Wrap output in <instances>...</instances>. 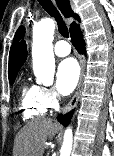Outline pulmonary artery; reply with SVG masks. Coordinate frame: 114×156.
Wrapping results in <instances>:
<instances>
[{
    "instance_id": "1",
    "label": "pulmonary artery",
    "mask_w": 114,
    "mask_h": 156,
    "mask_svg": "<svg viewBox=\"0 0 114 156\" xmlns=\"http://www.w3.org/2000/svg\"><path fill=\"white\" fill-rule=\"evenodd\" d=\"M70 52H71L70 45L66 41L59 40L56 42L54 46L55 55H57L58 57H65L69 55Z\"/></svg>"
}]
</instances>
